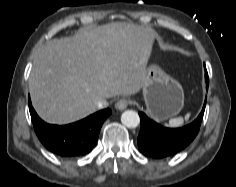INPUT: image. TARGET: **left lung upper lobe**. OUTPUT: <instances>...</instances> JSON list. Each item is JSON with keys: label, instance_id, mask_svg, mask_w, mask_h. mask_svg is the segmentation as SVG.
<instances>
[{"label": "left lung upper lobe", "instance_id": "1", "mask_svg": "<svg viewBox=\"0 0 236 187\" xmlns=\"http://www.w3.org/2000/svg\"><path fill=\"white\" fill-rule=\"evenodd\" d=\"M205 78H208V74H207V72H205Z\"/></svg>", "mask_w": 236, "mask_h": 187}]
</instances>
